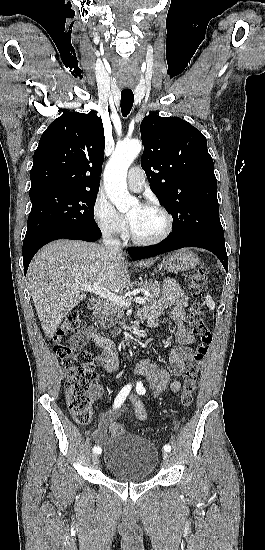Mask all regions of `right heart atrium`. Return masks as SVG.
Returning <instances> with one entry per match:
<instances>
[{
  "label": "right heart atrium",
  "instance_id": "1",
  "mask_svg": "<svg viewBox=\"0 0 265 550\" xmlns=\"http://www.w3.org/2000/svg\"><path fill=\"white\" fill-rule=\"evenodd\" d=\"M93 218L99 230L109 237H124L127 233L126 220L104 194H98L94 201Z\"/></svg>",
  "mask_w": 265,
  "mask_h": 550
}]
</instances>
